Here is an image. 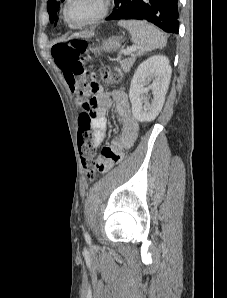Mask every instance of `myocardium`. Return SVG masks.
Here are the masks:
<instances>
[{
    "label": "myocardium",
    "instance_id": "1",
    "mask_svg": "<svg viewBox=\"0 0 227 298\" xmlns=\"http://www.w3.org/2000/svg\"><path fill=\"white\" fill-rule=\"evenodd\" d=\"M70 2H71V0H66V2H65L64 9H63L64 17H65L66 21L69 23V25L78 28V27L92 25L94 23L99 22L103 18H105L110 11L112 0H100L101 7H100L99 13L97 15H95L93 18H91L85 22H82V23H74L71 20V18L69 16V12H68Z\"/></svg>",
    "mask_w": 227,
    "mask_h": 298
}]
</instances>
